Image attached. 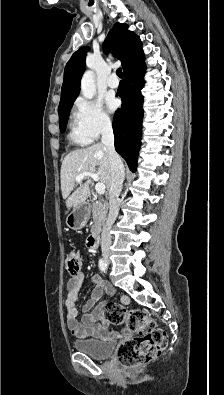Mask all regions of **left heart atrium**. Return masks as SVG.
Segmentation results:
<instances>
[{"label": "left heart atrium", "mask_w": 224, "mask_h": 395, "mask_svg": "<svg viewBox=\"0 0 224 395\" xmlns=\"http://www.w3.org/2000/svg\"><path fill=\"white\" fill-rule=\"evenodd\" d=\"M106 106L110 112H114L118 108V101L116 98L109 96L106 98Z\"/></svg>", "instance_id": "obj_1"}]
</instances>
